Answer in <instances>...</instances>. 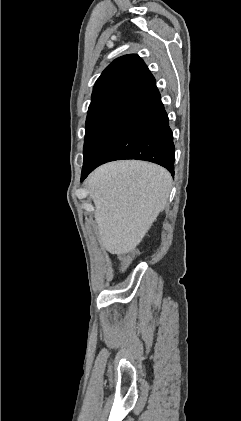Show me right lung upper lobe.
Instances as JSON below:
<instances>
[{"label":"right lung upper lobe","instance_id":"cb5924a9","mask_svg":"<svg viewBox=\"0 0 241 421\" xmlns=\"http://www.w3.org/2000/svg\"><path fill=\"white\" fill-rule=\"evenodd\" d=\"M154 83L153 75L138 55L119 57L97 79L88 113L119 103H132Z\"/></svg>","mask_w":241,"mask_h":421}]
</instances>
